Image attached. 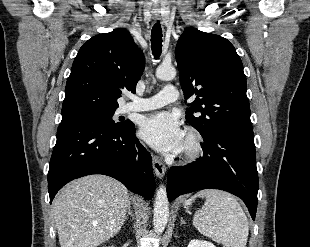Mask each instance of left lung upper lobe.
Returning <instances> with one entry per match:
<instances>
[{"instance_id": "left-lung-upper-lobe-1", "label": "left lung upper lobe", "mask_w": 310, "mask_h": 247, "mask_svg": "<svg viewBox=\"0 0 310 247\" xmlns=\"http://www.w3.org/2000/svg\"><path fill=\"white\" fill-rule=\"evenodd\" d=\"M175 55L185 99L197 95L186 120L204 140L227 128L251 127L243 65L227 39L188 28Z\"/></svg>"}]
</instances>
